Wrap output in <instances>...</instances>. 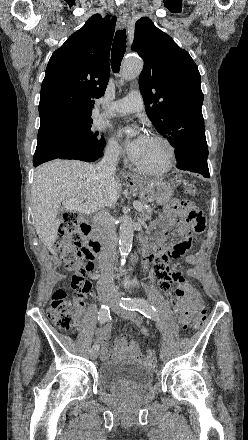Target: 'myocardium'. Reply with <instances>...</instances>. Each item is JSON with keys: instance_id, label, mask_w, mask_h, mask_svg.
<instances>
[{"instance_id": "myocardium-1", "label": "myocardium", "mask_w": 248, "mask_h": 440, "mask_svg": "<svg viewBox=\"0 0 248 440\" xmlns=\"http://www.w3.org/2000/svg\"><path fill=\"white\" fill-rule=\"evenodd\" d=\"M150 138H153V139L159 141L165 147L166 158H165L164 163L160 167H157V168L142 167V166L136 164L135 162L133 163V165H134L135 170L142 173V174L162 175V174L168 172L170 170V168L172 167V164L175 159V150H174V147H173L172 143L170 142V140L161 134L154 133L150 136Z\"/></svg>"}]
</instances>
